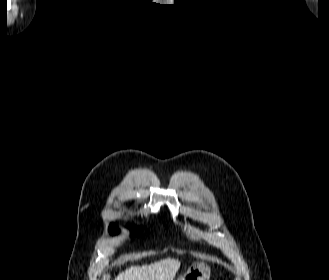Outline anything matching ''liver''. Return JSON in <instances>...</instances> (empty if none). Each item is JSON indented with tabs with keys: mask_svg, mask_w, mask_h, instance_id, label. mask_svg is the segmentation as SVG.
<instances>
[{
	"mask_svg": "<svg viewBox=\"0 0 329 280\" xmlns=\"http://www.w3.org/2000/svg\"><path fill=\"white\" fill-rule=\"evenodd\" d=\"M180 265L178 259L167 258L149 265L132 266L114 280H173Z\"/></svg>",
	"mask_w": 329,
	"mask_h": 280,
	"instance_id": "1",
	"label": "liver"
}]
</instances>
